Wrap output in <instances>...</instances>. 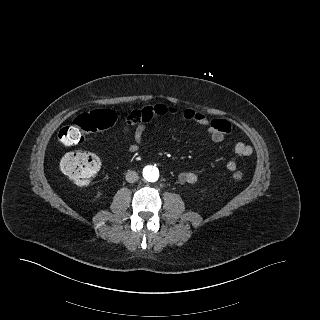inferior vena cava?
I'll return each instance as SVG.
<instances>
[{"instance_id": "inferior-vena-cava-1", "label": "inferior vena cava", "mask_w": 320, "mask_h": 320, "mask_svg": "<svg viewBox=\"0 0 320 320\" xmlns=\"http://www.w3.org/2000/svg\"><path fill=\"white\" fill-rule=\"evenodd\" d=\"M138 179H139L138 173H136L135 171L129 170V171L126 173V180H127V182H129V183H134V182L138 181Z\"/></svg>"}]
</instances>
